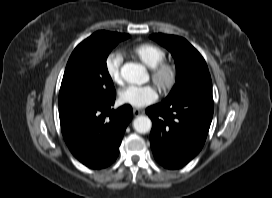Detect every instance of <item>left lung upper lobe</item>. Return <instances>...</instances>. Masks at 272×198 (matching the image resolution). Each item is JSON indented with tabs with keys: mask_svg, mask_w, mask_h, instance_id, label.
<instances>
[{
	"mask_svg": "<svg viewBox=\"0 0 272 198\" xmlns=\"http://www.w3.org/2000/svg\"><path fill=\"white\" fill-rule=\"evenodd\" d=\"M150 38L166 47L176 64V84L164 101L186 96L212 97V82L206 62L186 39L161 33Z\"/></svg>",
	"mask_w": 272,
	"mask_h": 198,
	"instance_id": "left-lung-upper-lobe-1",
	"label": "left lung upper lobe"
}]
</instances>
